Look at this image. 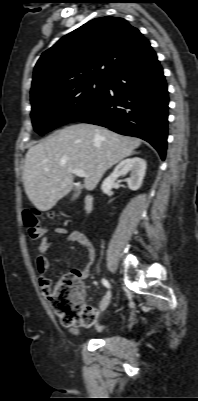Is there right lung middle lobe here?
<instances>
[{"label": "right lung middle lobe", "instance_id": "obj_1", "mask_svg": "<svg viewBox=\"0 0 198 401\" xmlns=\"http://www.w3.org/2000/svg\"><path fill=\"white\" fill-rule=\"evenodd\" d=\"M106 88L107 80H90L37 96L31 101L35 131L43 135L78 120L97 104Z\"/></svg>", "mask_w": 198, "mask_h": 401}]
</instances>
